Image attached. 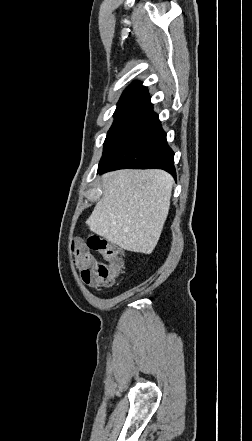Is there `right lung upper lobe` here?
<instances>
[{
  "instance_id": "cb5924a9",
  "label": "right lung upper lobe",
  "mask_w": 252,
  "mask_h": 441,
  "mask_svg": "<svg viewBox=\"0 0 252 441\" xmlns=\"http://www.w3.org/2000/svg\"><path fill=\"white\" fill-rule=\"evenodd\" d=\"M148 102H150V97L147 88L142 86L141 82H135L123 92L117 107Z\"/></svg>"
}]
</instances>
